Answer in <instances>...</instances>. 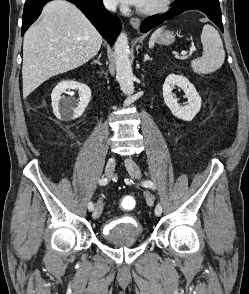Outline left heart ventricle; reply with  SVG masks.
<instances>
[{"label":"left heart ventricle","mask_w":249,"mask_h":294,"mask_svg":"<svg viewBox=\"0 0 249 294\" xmlns=\"http://www.w3.org/2000/svg\"><path fill=\"white\" fill-rule=\"evenodd\" d=\"M162 0H144L141 8H148V7H152L158 3H160Z\"/></svg>","instance_id":"left-heart-ventricle-1"}]
</instances>
